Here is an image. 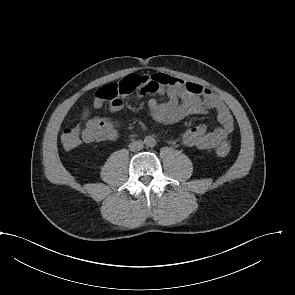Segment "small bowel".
Segmentation results:
<instances>
[{
  "label": "small bowel",
  "mask_w": 295,
  "mask_h": 295,
  "mask_svg": "<svg viewBox=\"0 0 295 295\" xmlns=\"http://www.w3.org/2000/svg\"><path fill=\"white\" fill-rule=\"evenodd\" d=\"M141 85L138 96L157 94L167 98L159 102L155 98L148 101V108L153 118L161 123L171 124L190 115L204 114L214 110L220 124L208 131L204 125H196L185 130L181 135V142L187 147L203 150L217 148L226 141L234 129V118L226 103L213 91L194 82L184 81L164 73L140 76ZM104 101L95 96L93 108L100 109ZM123 107L121 100L109 104L111 111H118ZM86 121H92L93 128L84 136L87 143L114 140L117 137L118 123L106 118H91L90 111L83 113Z\"/></svg>",
  "instance_id": "c3829d8e"
}]
</instances>
